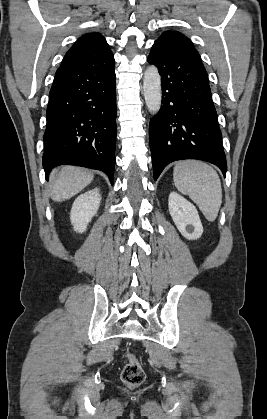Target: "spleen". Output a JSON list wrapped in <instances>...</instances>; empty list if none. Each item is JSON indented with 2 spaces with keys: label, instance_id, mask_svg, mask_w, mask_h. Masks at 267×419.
<instances>
[{
  "label": "spleen",
  "instance_id": "1",
  "mask_svg": "<svg viewBox=\"0 0 267 419\" xmlns=\"http://www.w3.org/2000/svg\"><path fill=\"white\" fill-rule=\"evenodd\" d=\"M175 187L197 204L205 218H217L222 203V187L217 172L198 160L178 162L173 170Z\"/></svg>",
  "mask_w": 267,
  "mask_h": 419
}]
</instances>
